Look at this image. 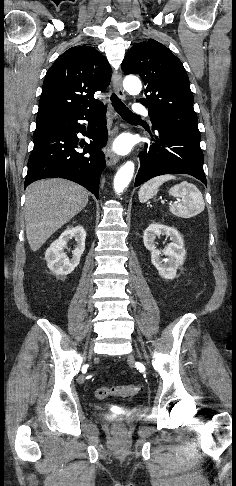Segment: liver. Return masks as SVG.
<instances>
[{
	"instance_id": "liver-1",
	"label": "liver",
	"mask_w": 236,
	"mask_h": 486,
	"mask_svg": "<svg viewBox=\"0 0 236 486\" xmlns=\"http://www.w3.org/2000/svg\"><path fill=\"white\" fill-rule=\"evenodd\" d=\"M82 186L60 178L40 180L26 189V237L37 251L60 227L77 215L88 203Z\"/></svg>"
}]
</instances>
